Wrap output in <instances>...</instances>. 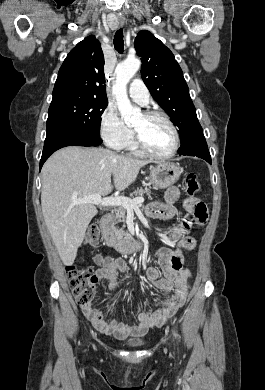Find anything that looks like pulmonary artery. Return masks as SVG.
Wrapping results in <instances>:
<instances>
[{
  "mask_svg": "<svg viewBox=\"0 0 265 390\" xmlns=\"http://www.w3.org/2000/svg\"><path fill=\"white\" fill-rule=\"evenodd\" d=\"M129 96L138 104L146 105L149 102V91L143 81L135 78L130 83Z\"/></svg>",
  "mask_w": 265,
  "mask_h": 390,
  "instance_id": "pulmonary-artery-1",
  "label": "pulmonary artery"
}]
</instances>
